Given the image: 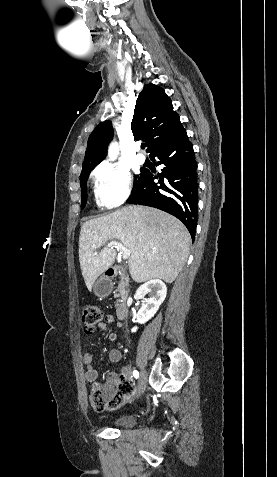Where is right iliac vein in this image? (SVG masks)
<instances>
[{"label": "right iliac vein", "mask_w": 277, "mask_h": 477, "mask_svg": "<svg viewBox=\"0 0 277 477\" xmlns=\"http://www.w3.org/2000/svg\"><path fill=\"white\" fill-rule=\"evenodd\" d=\"M146 384H147V374L145 370H142L138 380L137 395H136L137 397L141 396L144 393L146 389Z\"/></svg>", "instance_id": "obj_1"}]
</instances>
